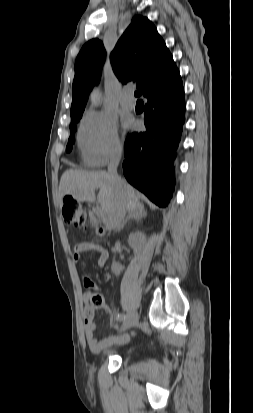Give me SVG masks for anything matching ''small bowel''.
<instances>
[{
  "label": "small bowel",
  "mask_w": 253,
  "mask_h": 413,
  "mask_svg": "<svg viewBox=\"0 0 253 413\" xmlns=\"http://www.w3.org/2000/svg\"><path fill=\"white\" fill-rule=\"evenodd\" d=\"M88 251H95L98 254V261H97L98 266L104 267L106 260L108 258L107 250L91 242H81V243H78L74 247L73 258L76 264L80 266L81 255L84 252H88ZM84 283L88 288L91 285H93L92 281L88 277L84 278ZM88 292L84 296V304H85L84 306V332H85V338L87 340L90 351L92 353L98 354L102 352L104 349H106L107 347L111 346L112 344H121V343L128 341L129 334H124L119 337L109 336L101 340H98L95 337V331L97 328L94 322L95 311L89 302Z\"/></svg>",
  "instance_id": "c3829d8e"
}]
</instances>
